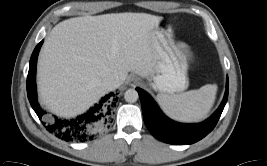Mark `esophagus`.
<instances>
[{"label": "esophagus", "mask_w": 267, "mask_h": 166, "mask_svg": "<svg viewBox=\"0 0 267 166\" xmlns=\"http://www.w3.org/2000/svg\"><path fill=\"white\" fill-rule=\"evenodd\" d=\"M129 84H130V86L135 87V86H138L141 84V80L139 78L133 76V77H130Z\"/></svg>", "instance_id": "34e87169"}]
</instances>
